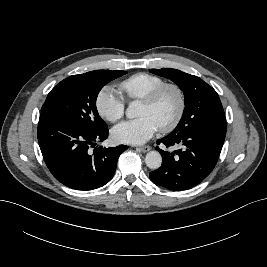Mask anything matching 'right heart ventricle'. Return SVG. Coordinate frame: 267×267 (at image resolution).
<instances>
[{
	"mask_svg": "<svg viewBox=\"0 0 267 267\" xmlns=\"http://www.w3.org/2000/svg\"><path fill=\"white\" fill-rule=\"evenodd\" d=\"M164 83L165 80L159 76L141 72L133 74L121 81L119 89L123 96L129 100H142Z\"/></svg>",
	"mask_w": 267,
	"mask_h": 267,
	"instance_id": "right-heart-ventricle-1",
	"label": "right heart ventricle"
}]
</instances>
